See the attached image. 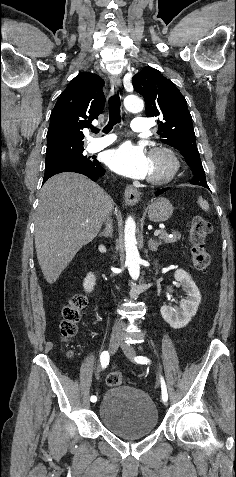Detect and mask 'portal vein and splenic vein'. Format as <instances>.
<instances>
[{
  "mask_svg": "<svg viewBox=\"0 0 236 477\" xmlns=\"http://www.w3.org/2000/svg\"><path fill=\"white\" fill-rule=\"evenodd\" d=\"M162 232H163L162 230H156V231L154 232V236H158V235H160Z\"/></svg>",
  "mask_w": 236,
  "mask_h": 477,
  "instance_id": "18ae733b",
  "label": "portal vein and splenic vein"
}]
</instances>
